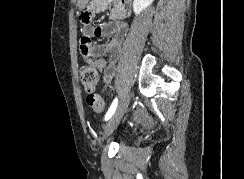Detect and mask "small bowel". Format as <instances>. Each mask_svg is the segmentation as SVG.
<instances>
[{
	"mask_svg": "<svg viewBox=\"0 0 244 179\" xmlns=\"http://www.w3.org/2000/svg\"><path fill=\"white\" fill-rule=\"evenodd\" d=\"M84 9V18H79L82 25L80 51L86 63L102 73L104 86H109L115 75L116 65L123 54V45L128 34L126 22L127 4L123 1L91 0ZM111 8L110 20L106 23L92 26L93 17ZM93 37H111L106 43L93 44ZM109 55L108 60L105 56ZM144 114L143 110L139 111ZM134 121L139 117L134 116Z\"/></svg>",
	"mask_w": 244,
	"mask_h": 179,
	"instance_id": "c3829d8e",
	"label": "small bowel"
}]
</instances>
